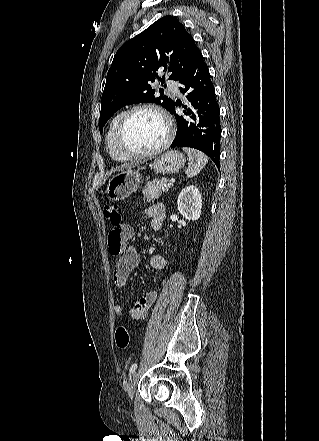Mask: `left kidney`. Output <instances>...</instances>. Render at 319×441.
Returning a JSON list of instances; mask_svg holds the SVG:
<instances>
[{"label":"left kidney","instance_id":"left-kidney-1","mask_svg":"<svg viewBox=\"0 0 319 441\" xmlns=\"http://www.w3.org/2000/svg\"><path fill=\"white\" fill-rule=\"evenodd\" d=\"M178 210L188 220H198L201 215L202 197L194 185L184 188L178 196Z\"/></svg>","mask_w":319,"mask_h":441}]
</instances>
